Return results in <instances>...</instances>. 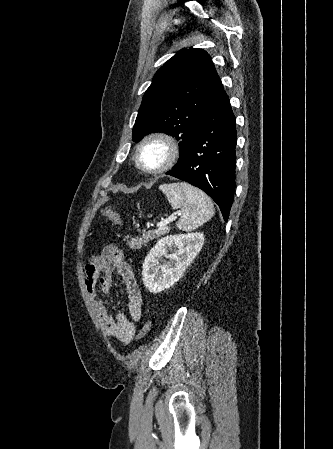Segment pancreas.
I'll use <instances>...</instances> for the list:
<instances>
[{
  "label": "pancreas",
  "mask_w": 333,
  "mask_h": 449,
  "mask_svg": "<svg viewBox=\"0 0 333 449\" xmlns=\"http://www.w3.org/2000/svg\"><path fill=\"white\" fill-rule=\"evenodd\" d=\"M169 230L170 229L165 226L160 227L157 230H150L145 234H143L142 236L131 238V240L128 241V244L132 249L135 250L140 249L142 246H146L151 240L159 236L165 235L166 233L169 232Z\"/></svg>",
  "instance_id": "pancreas-1"
}]
</instances>
